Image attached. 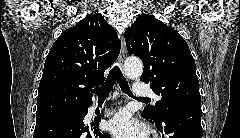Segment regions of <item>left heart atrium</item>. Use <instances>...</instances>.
<instances>
[{
	"mask_svg": "<svg viewBox=\"0 0 240 138\" xmlns=\"http://www.w3.org/2000/svg\"><path fill=\"white\" fill-rule=\"evenodd\" d=\"M109 131L118 138H133L146 135V130L134 121L131 114L122 109L108 122Z\"/></svg>",
	"mask_w": 240,
	"mask_h": 138,
	"instance_id": "left-heart-atrium-1",
	"label": "left heart atrium"
}]
</instances>
